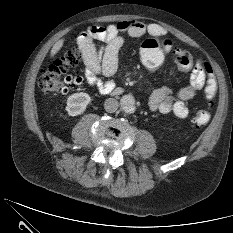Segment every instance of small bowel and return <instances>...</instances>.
I'll return each mask as SVG.
<instances>
[{
	"instance_id": "c3829d8e",
	"label": "small bowel",
	"mask_w": 233,
	"mask_h": 233,
	"mask_svg": "<svg viewBox=\"0 0 233 233\" xmlns=\"http://www.w3.org/2000/svg\"><path fill=\"white\" fill-rule=\"evenodd\" d=\"M162 33L159 25H146L139 20L119 21L106 27L89 26L77 39L86 66V82L103 94L112 92L115 83L112 80H104V77H110L117 71L124 35L132 38L145 35L158 37ZM94 40H98L100 45L96 46ZM203 63L201 59L196 61L186 85L178 89L169 85L155 89L148 101L149 108L162 114L172 113L178 118H186L189 115L186 102L207 83Z\"/></svg>"
}]
</instances>
